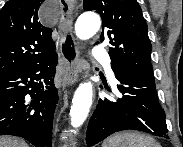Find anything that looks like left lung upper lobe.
Returning <instances> with one entry per match:
<instances>
[{
	"instance_id": "left-lung-upper-lobe-1",
	"label": "left lung upper lobe",
	"mask_w": 183,
	"mask_h": 147,
	"mask_svg": "<svg viewBox=\"0 0 183 147\" xmlns=\"http://www.w3.org/2000/svg\"><path fill=\"white\" fill-rule=\"evenodd\" d=\"M85 11L101 15L100 42L110 43L111 67L153 78L152 45L142 10L136 0H84Z\"/></svg>"
}]
</instances>
